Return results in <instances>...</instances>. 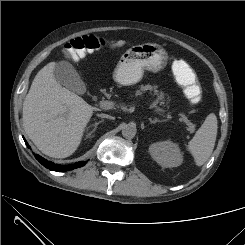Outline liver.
I'll use <instances>...</instances> for the list:
<instances>
[{"label": "liver", "mask_w": 245, "mask_h": 245, "mask_svg": "<svg viewBox=\"0 0 245 245\" xmlns=\"http://www.w3.org/2000/svg\"><path fill=\"white\" fill-rule=\"evenodd\" d=\"M117 41L111 48L122 47ZM50 62L35 76L23 102L26 134L47 156L66 158L78 148L94 107L56 81Z\"/></svg>", "instance_id": "liver-1"}]
</instances>
